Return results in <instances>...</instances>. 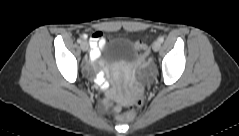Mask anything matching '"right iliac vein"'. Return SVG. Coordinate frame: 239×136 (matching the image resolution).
<instances>
[{"mask_svg":"<svg viewBox=\"0 0 239 136\" xmlns=\"http://www.w3.org/2000/svg\"><path fill=\"white\" fill-rule=\"evenodd\" d=\"M80 46L83 51H87L89 49V44L86 41H83Z\"/></svg>","mask_w":239,"mask_h":136,"instance_id":"right-iliac-vein-1","label":"right iliac vein"}]
</instances>
